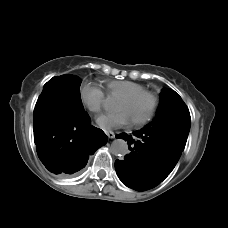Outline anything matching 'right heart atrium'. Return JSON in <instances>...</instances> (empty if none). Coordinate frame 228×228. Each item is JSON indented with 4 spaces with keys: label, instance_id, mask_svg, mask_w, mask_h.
Returning a JSON list of instances; mask_svg holds the SVG:
<instances>
[{
    "label": "right heart atrium",
    "instance_id": "obj_1",
    "mask_svg": "<svg viewBox=\"0 0 228 228\" xmlns=\"http://www.w3.org/2000/svg\"><path fill=\"white\" fill-rule=\"evenodd\" d=\"M82 100L90 111L98 112L102 108L109 107L111 102L100 89L90 84H85L82 88Z\"/></svg>",
    "mask_w": 228,
    "mask_h": 228
}]
</instances>
